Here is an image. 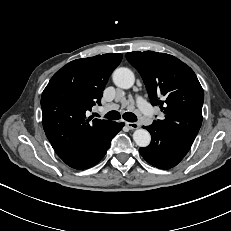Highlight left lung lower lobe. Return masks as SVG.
I'll return each mask as SVG.
<instances>
[{"mask_svg": "<svg viewBox=\"0 0 231 231\" xmlns=\"http://www.w3.org/2000/svg\"><path fill=\"white\" fill-rule=\"evenodd\" d=\"M143 128L150 132L152 140L149 146L140 148L139 151L148 163L157 168L170 169L176 166L191 148L190 143L155 124Z\"/></svg>", "mask_w": 231, "mask_h": 231, "instance_id": "0a47b994", "label": "left lung lower lobe"}]
</instances>
